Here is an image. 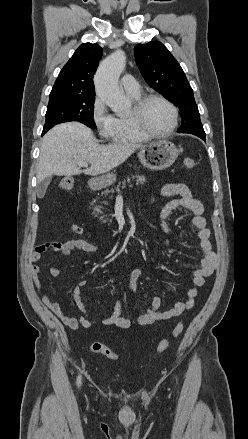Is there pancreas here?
Wrapping results in <instances>:
<instances>
[{
  "label": "pancreas",
  "instance_id": "1",
  "mask_svg": "<svg viewBox=\"0 0 248 439\" xmlns=\"http://www.w3.org/2000/svg\"><path fill=\"white\" fill-rule=\"evenodd\" d=\"M135 180L136 179V181L137 182H140V183H142V182H145V177L144 176H139V175H132V177H127V181L128 182H130V180ZM126 183V181L124 180V181H122V185H124ZM120 184V183H119ZM118 187H119V185L116 187V189L118 190ZM114 192V189H110V190H105L102 194H104V195H108L109 193H113Z\"/></svg>",
  "mask_w": 248,
  "mask_h": 439
}]
</instances>
